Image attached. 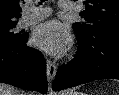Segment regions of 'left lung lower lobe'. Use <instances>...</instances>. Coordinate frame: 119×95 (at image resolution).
Here are the masks:
<instances>
[{
	"mask_svg": "<svg viewBox=\"0 0 119 95\" xmlns=\"http://www.w3.org/2000/svg\"><path fill=\"white\" fill-rule=\"evenodd\" d=\"M78 44L75 59L58 69L53 90L97 79H119V36H96L86 41L78 39Z\"/></svg>",
	"mask_w": 119,
	"mask_h": 95,
	"instance_id": "obj_1",
	"label": "left lung lower lobe"
}]
</instances>
